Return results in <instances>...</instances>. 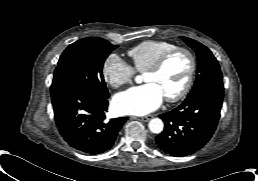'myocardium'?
Here are the masks:
<instances>
[{
  "instance_id": "obj_1",
  "label": "myocardium",
  "mask_w": 258,
  "mask_h": 181,
  "mask_svg": "<svg viewBox=\"0 0 258 181\" xmlns=\"http://www.w3.org/2000/svg\"><path fill=\"white\" fill-rule=\"evenodd\" d=\"M177 53H184L188 57L189 62H190V67H189V72H188L186 82H185L184 86L181 88V90L178 91L174 95L165 97L168 102H177V101L183 99L189 93V91L193 85V81H194V77H195V73H196V69H197V61H196V57H195L194 53L186 47H175V48L163 53L145 71L146 73L160 72L162 70V68L164 67V65L167 63V61Z\"/></svg>"
}]
</instances>
